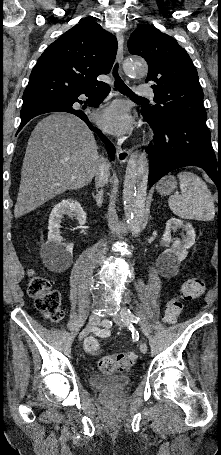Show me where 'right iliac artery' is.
I'll use <instances>...</instances> for the list:
<instances>
[{"label":"right iliac artery","mask_w":221,"mask_h":455,"mask_svg":"<svg viewBox=\"0 0 221 455\" xmlns=\"http://www.w3.org/2000/svg\"><path fill=\"white\" fill-rule=\"evenodd\" d=\"M93 333L95 334V337L105 338L109 336L110 330L105 326L104 328L94 329Z\"/></svg>","instance_id":"obj_1"}]
</instances>
